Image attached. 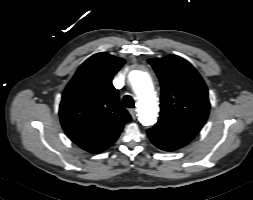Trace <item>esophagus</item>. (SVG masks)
<instances>
[{"label": "esophagus", "instance_id": "esophagus-1", "mask_svg": "<svg viewBox=\"0 0 253 200\" xmlns=\"http://www.w3.org/2000/svg\"><path fill=\"white\" fill-rule=\"evenodd\" d=\"M129 113H130L132 119L135 120V119L137 118V113H136V110H135V109H131V110L129 111Z\"/></svg>", "mask_w": 253, "mask_h": 200}]
</instances>
